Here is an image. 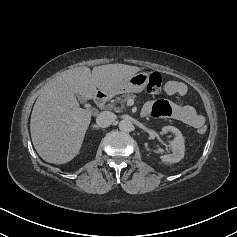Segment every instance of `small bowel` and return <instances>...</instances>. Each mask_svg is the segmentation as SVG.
<instances>
[{
    "mask_svg": "<svg viewBox=\"0 0 237 237\" xmlns=\"http://www.w3.org/2000/svg\"><path fill=\"white\" fill-rule=\"evenodd\" d=\"M164 92L168 95L184 96L187 93V86L181 81L171 80L165 84ZM142 114L153 117L169 116L196 129L204 125V117L193 106L165 100L147 102Z\"/></svg>",
    "mask_w": 237,
    "mask_h": 237,
    "instance_id": "small-bowel-1",
    "label": "small bowel"
}]
</instances>
